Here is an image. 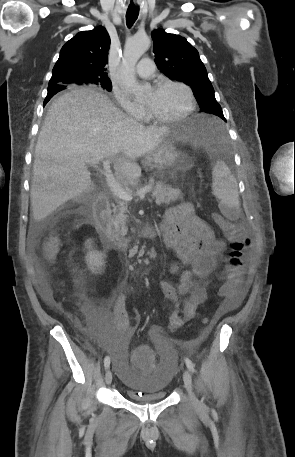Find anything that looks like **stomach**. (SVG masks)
<instances>
[{
  "label": "stomach",
  "instance_id": "0dacf381",
  "mask_svg": "<svg viewBox=\"0 0 295 457\" xmlns=\"http://www.w3.org/2000/svg\"><path fill=\"white\" fill-rule=\"evenodd\" d=\"M210 135V127L201 116H192L177 129H171L161 143L145 158V164L151 169L160 172L174 174L183 168L182 153L179 150L181 144L194 146L207 142Z\"/></svg>",
  "mask_w": 295,
  "mask_h": 457
}]
</instances>
